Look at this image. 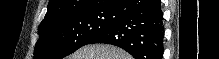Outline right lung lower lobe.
I'll list each match as a JSON object with an SVG mask.
<instances>
[{"label":"right lung lower lobe","mask_w":219,"mask_h":59,"mask_svg":"<svg viewBox=\"0 0 219 59\" xmlns=\"http://www.w3.org/2000/svg\"><path fill=\"white\" fill-rule=\"evenodd\" d=\"M113 10L112 25L88 44L115 45L135 59H161L164 28L160 0H119Z\"/></svg>","instance_id":"98d812e1"}]
</instances>
